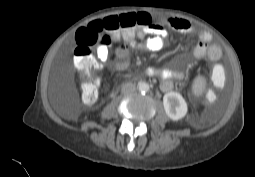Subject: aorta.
<instances>
[{
  "mask_svg": "<svg viewBox=\"0 0 255 177\" xmlns=\"http://www.w3.org/2000/svg\"><path fill=\"white\" fill-rule=\"evenodd\" d=\"M138 89L141 92H147V91H149L150 86L147 82L142 81V82L138 83Z\"/></svg>",
  "mask_w": 255,
  "mask_h": 177,
  "instance_id": "obj_1",
  "label": "aorta"
}]
</instances>
